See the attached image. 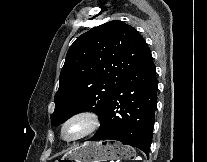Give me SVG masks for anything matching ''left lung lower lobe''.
I'll return each instance as SVG.
<instances>
[{
	"label": "left lung lower lobe",
	"mask_w": 207,
	"mask_h": 162,
	"mask_svg": "<svg viewBox=\"0 0 207 162\" xmlns=\"http://www.w3.org/2000/svg\"><path fill=\"white\" fill-rule=\"evenodd\" d=\"M157 89L156 68L149 51L117 88L101 117V127L89 141H120L148 156Z\"/></svg>",
	"instance_id": "left-lung-lower-lobe-1"
}]
</instances>
